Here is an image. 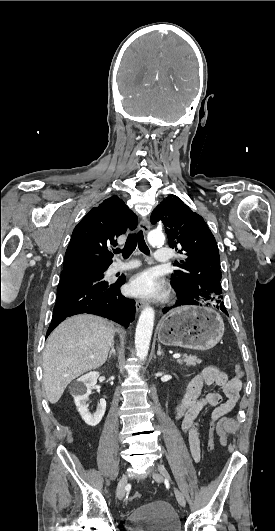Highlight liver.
Segmentation results:
<instances>
[{
  "label": "liver",
  "instance_id": "obj_1",
  "mask_svg": "<svg viewBox=\"0 0 275 531\" xmlns=\"http://www.w3.org/2000/svg\"><path fill=\"white\" fill-rule=\"evenodd\" d=\"M114 333L113 323L95 315L69 317L54 329L42 365L44 389L52 405L73 379L106 363Z\"/></svg>",
  "mask_w": 275,
  "mask_h": 531
}]
</instances>
